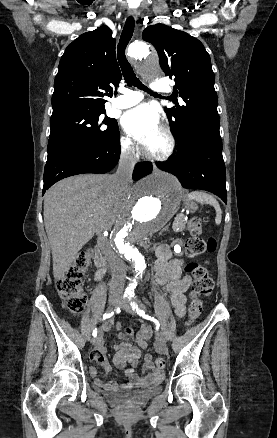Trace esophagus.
<instances>
[{"instance_id": "34e87169", "label": "esophagus", "mask_w": 277, "mask_h": 438, "mask_svg": "<svg viewBox=\"0 0 277 438\" xmlns=\"http://www.w3.org/2000/svg\"><path fill=\"white\" fill-rule=\"evenodd\" d=\"M128 15L132 16L134 19H137V16H138L137 10H135L133 8H129L128 9Z\"/></svg>"}]
</instances>
